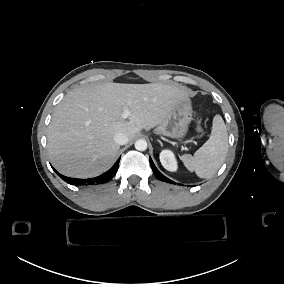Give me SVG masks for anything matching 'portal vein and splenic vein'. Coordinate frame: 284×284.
Wrapping results in <instances>:
<instances>
[{
	"mask_svg": "<svg viewBox=\"0 0 284 284\" xmlns=\"http://www.w3.org/2000/svg\"><path fill=\"white\" fill-rule=\"evenodd\" d=\"M131 115V112L128 108L124 109L123 113H122V119H127L129 116Z\"/></svg>",
	"mask_w": 284,
	"mask_h": 284,
	"instance_id": "18ae733b",
	"label": "portal vein and splenic vein"
}]
</instances>
